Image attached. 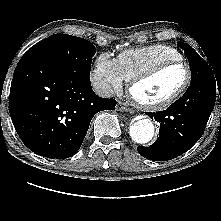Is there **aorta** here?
I'll list each match as a JSON object with an SVG mask.
<instances>
[{"instance_id":"obj_1","label":"aorta","mask_w":221,"mask_h":221,"mask_svg":"<svg viewBox=\"0 0 221 221\" xmlns=\"http://www.w3.org/2000/svg\"><path fill=\"white\" fill-rule=\"evenodd\" d=\"M133 141L139 144H145L152 140L154 136L153 122L146 118L134 122L129 129Z\"/></svg>"}]
</instances>
